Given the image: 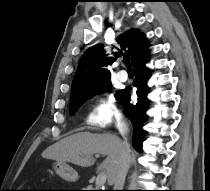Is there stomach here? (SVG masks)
Listing matches in <instances>:
<instances>
[{"label":"stomach","instance_id":"stomach-1","mask_svg":"<svg viewBox=\"0 0 210 191\" xmlns=\"http://www.w3.org/2000/svg\"><path fill=\"white\" fill-rule=\"evenodd\" d=\"M53 168L61 178L68 182H75L79 178L77 171L66 162L56 161L53 163Z\"/></svg>","mask_w":210,"mask_h":191}]
</instances>
